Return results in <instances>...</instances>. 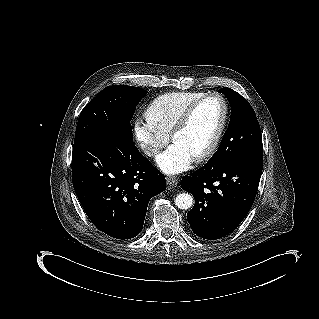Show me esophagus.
I'll list each match as a JSON object with an SVG mask.
<instances>
[{
  "label": "esophagus",
  "instance_id": "1",
  "mask_svg": "<svg viewBox=\"0 0 319 319\" xmlns=\"http://www.w3.org/2000/svg\"><path fill=\"white\" fill-rule=\"evenodd\" d=\"M166 183L169 187H174L178 184V179L175 176L166 177Z\"/></svg>",
  "mask_w": 319,
  "mask_h": 319
}]
</instances>
